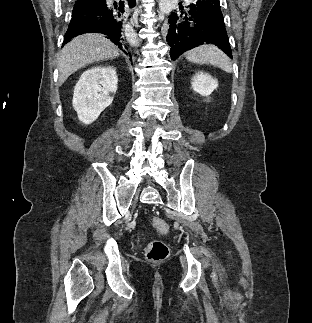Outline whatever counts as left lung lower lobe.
I'll return each instance as SVG.
<instances>
[{
	"instance_id": "1",
	"label": "left lung lower lobe",
	"mask_w": 312,
	"mask_h": 323,
	"mask_svg": "<svg viewBox=\"0 0 312 323\" xmlns=\"http://www.w3.org/2000/svg\"><path fill=\"white\" fill-rule=\"evenodd\" d=\"M168 24L166 41L173 60L203 44H216L232 57L219 0H194L186 9L180 6L171 13Z\"/></svg>"
}]
</instances>
